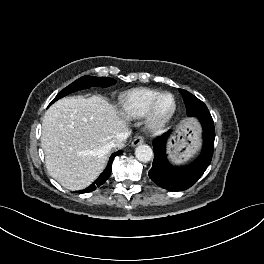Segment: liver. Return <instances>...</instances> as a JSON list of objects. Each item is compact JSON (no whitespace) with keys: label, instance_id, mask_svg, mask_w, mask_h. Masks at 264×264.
Listing matches in <instances>:
<instances>
[{"label":"liver","instance_id":"obj_1","mask_svg":"<svg viewBox=\"0 0 264 264\" xmlns=\"http://www.w3.org/2000/svg\"><path fill=\"white\" fill-rule=\"evenodd\" d=\"M127 130L126 119L102 97L58 100L42 123L49 174L69 190L86 188L105 166L110 142Z\"/></svg>","mask_w":264,"mask_h":264}]
</instances>
